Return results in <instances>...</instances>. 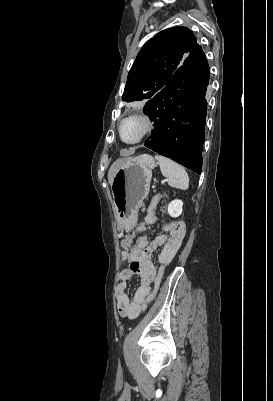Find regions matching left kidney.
Returning <instances> with one entry per match:
<instances>
[{"label": "left kidney", "mask_w": 273, "mask_h": 401, "mask_svg": "<svg viewBox=\"0 0 273 401\" xmlns=\"http://www.w3.org/2000/svg\"><path fill=\"white\" fill-rule=\"evenodd\" d=\"M182 207L183 203L182 201H178V198H176V201H171L168 205V213L170 217H179L182 213Z\"/></svg>", "instance_id": "5707ae66"}]
</instances>
